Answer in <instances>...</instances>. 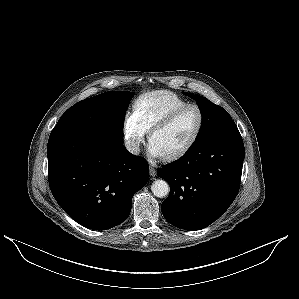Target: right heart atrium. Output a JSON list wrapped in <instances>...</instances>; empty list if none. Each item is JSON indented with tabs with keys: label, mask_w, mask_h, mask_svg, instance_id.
Instances as JSON below:
<instances>
[{
	"label": "right heart atrium",
	"mask_w": 299,
	"mask_h": 299,
	"mask_svg": "<svg viewBox=\"0 0 299 299\" xmlns=\"http://www.w3.org/2000/svg\"><path fill=\"white\" fill-rule=\"evenodd\" d=\"M147 129L134 112H127L124 119V139L128 150L132 154H138L144 142Z\"/></svg>",
	"instance_id": "1"
}]
</instances>
